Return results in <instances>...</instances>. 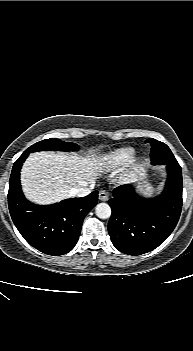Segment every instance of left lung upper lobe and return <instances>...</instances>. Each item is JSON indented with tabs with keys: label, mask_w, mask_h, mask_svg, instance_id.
Segmentation results:
<instances>
[{
	"label": "left lung upper lobe",
	"mask_w": 193,
	"mask_h": 351,
	"mask_svg": "<svg viewBox=\"0 0 193 351\" xmlns=\"http://www.w3.org/2000/svg\"><path fill=\"white\" fill-rule=\"evenodd\" d=\"M145 143L151 144L150 157L152 164H168L177 161L169 147L163 142H160L153 138H149L145 141Z\"/></svg>",
	"instance_id": "5c2ea615"
}]
</instances>
